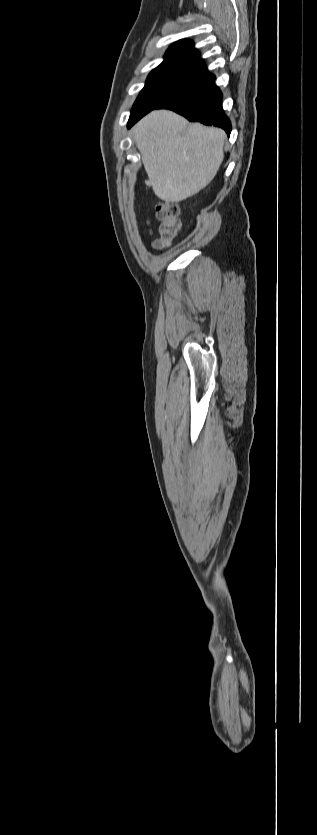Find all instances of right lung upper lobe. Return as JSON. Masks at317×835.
Segmentation results:
<instances>
[{
  "label": "right lung upper lobe",
  "mask_w": 317,
  "mask_h": 835,
  "mask_svg": "<svg viewBox=\"0 0 317 835\" xmlns=\"http://www.w3.org/2000/svg\"><path fill=\"white\" fill-rule=\"evenodd\" d=\"M199 53L194 49L192 41L180 40L170 46L167 50L164 61L160 64H170L197 58Z\"/></svg>",
  "instance_id": "1"
}]
</instances>
